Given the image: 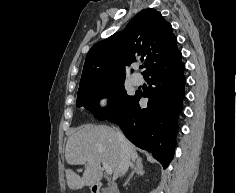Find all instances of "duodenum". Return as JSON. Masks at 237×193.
I'll use <instances>...</instances> for the list:
<instances>
[{"label":"duodenum","mask_w":237,"mask_h":193,"mask_svg":"<svg viewBox=\"0 0 237 193\" xmlns=\"http://www.w3.org/2000/svg\"><path fill=\"white\" fill-rule=\"evenodd\" d=\"M101 186H102L101 183L95 184V185L93 186V188H92L93 192H94V193H99V191H100V189H101ZM111 193H118V192L113 189Z\"/></svg>","instance_id":"1"}]
</instances>
